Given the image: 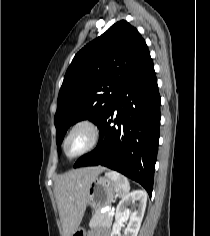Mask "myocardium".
Listing matches in <instances>:
<instances>
[{
  "label": "myocardium",
  "mask_w": 210,
  "mask_h": 236,
  "mask_svg": "<svg viewBox=\"0 0 210 236\" xmlns=\"http://www.w3.org/2000/svg\"><path fill=\"white\" fill-rule=\"evenodd\" d=\"M78 129H85L89 134V140L81 150H79L74 154H69L67 152V143L72 134ZM100 138H101V130L96 121L90 118L79 119L69 127L66 134L64 135L61 145L62 152L64 156L69 160L77 159L83 156L84 154L88 153L92 149H94L98 145Z\"/></svg>",
  "instance_id": "1"
}]
</instances>
